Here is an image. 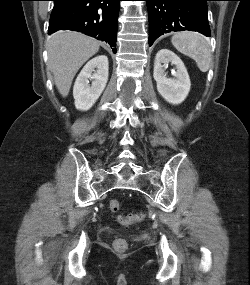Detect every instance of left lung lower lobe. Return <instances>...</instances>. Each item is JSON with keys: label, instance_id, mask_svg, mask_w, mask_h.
<instances>
[{"label": "left lung lower lobe", "instance_id": "1", "mask_svg": "<svg viewBox=\"0 0 250 285\" xmlns=\"http://www.w3.org/2000/svg\"><path fill=\"white\" fill-rule=\"evenodd\" d=\"M149 14V46L164 33L197 31L210 37L207 1L210 0H144Z\"/></svg>", "mask_w": 250, "mask_h": 285}]
</instances>
